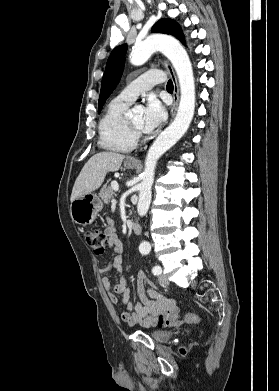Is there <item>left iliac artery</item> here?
Listing matches in <instances>:
<instances>
[{
  "label": "left iliac artery",
  "mask_w": 279,
  "mask_h": 391,
  "mask_svg": "<svg viewBox=\"0 0 279 391\" xmlns=\"http://www.w3.org/2000/svg\"><path fill=\"white\" fill-rule=\"evenodd\" d=\"M145 253V252H143ZM152 272L154 275H160L161 274V267L160 266H154L152 269Z\"/></svg>",
  "instance_id": "44dca946"
}]
</instances>
